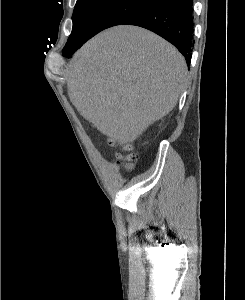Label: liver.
<instances>
[{
    "instance_id": "1",
    "label": "liver",
    "mask_w": 245,
    "mask_h": 300,
    "mask_svg": "<svg viewBox=\"0 0 245 300\" xmlns=\"http://www.w3.org/2000/svg\"><path fill=\"white\" fill-rule=\"evenodd\" d=\"M187 83L183 56L136 26L109 28L85 43L67 72L69 98L98 131L132 143L177 104Z\"/></svg>"
}]
</instances>
